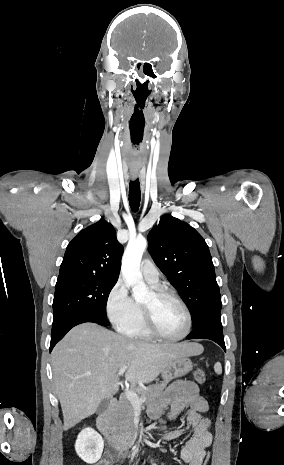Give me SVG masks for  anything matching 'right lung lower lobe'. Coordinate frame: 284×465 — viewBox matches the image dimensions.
<instances>
[{"mask_svg":"<svg viewBox=\"0 0 284 465\" xmlns=\"http://www.w3.org/2000/svg\"><path fill=\"white\" fill-rule=\"evenodd\" d=\"M85 322H93L103 326L109 325L107 318L99 314L89 312L68 314L52 324L50 352L71 328Z\"/></svg>","mask_w":284,"mask_h":465,"instance_id":"98d812e1","label":"right lung lower lobe"}]
</instances>
